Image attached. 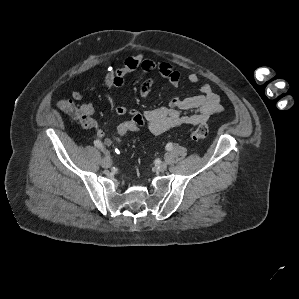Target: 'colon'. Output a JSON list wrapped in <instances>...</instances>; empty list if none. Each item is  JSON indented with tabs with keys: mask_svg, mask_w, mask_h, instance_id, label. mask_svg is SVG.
<instances>
[{
	"mask_svg": "<svg viewBox=\"0 0 299 299\" xmlns=\"http://www.w3.org/2000/svg\"><path fill=\"white\" fill-rule=\"evenodd\" d=\"M57 106L61 111L78 121L81 125L86 127L91 124L92 118L87 115L81 106H78L72 100H60ZM141 129L142 126L138 121L132 118L123 120L117 125L115 130L117 140L121 141L129 135L139 132ZM208 135L209 127L206 124H201L190 132V136L194 140L205 139Z\"/></svg>",
	"mask_w": 299,
	"mask_h": 299,
	"instance_id": "obj_1",
	"label": "colon"
}]
</instances>
